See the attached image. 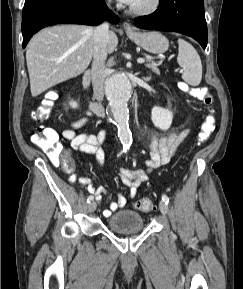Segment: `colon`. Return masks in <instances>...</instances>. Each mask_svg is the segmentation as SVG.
<instances>
[{
	"instance_id": "1",
	"label": "colon",
	"mask_w": 243,
	"mask_h": 289,
	"mask_svg": "<svg viewBox=\"0 0 243 289\" xmlns=\"http://www.w3.org/2000/svg\"><path fill=\"white\" fill-rule=\"evenodd\" d=\"M188 92L190 95L202 101L209 107V114L202 122L197 136V143L200 145L207 141L215 129V118L212 113V108L210 107L213 99L206 87L198 86L188 88ZM56 97V93H49L42 103L33 111V119L38 122L46 120L50 116ZM31 140L34 144L47 152L53 164L60 166L65 172L68 173L74 170L75 163L68 153L62 151L61 144L59 143V137L55 130L38 126L31 133ZM134 206L135 208L144 212L154 209V204L147 198L137 200L134 203Z\"/></svg>"
}]
</instances>
